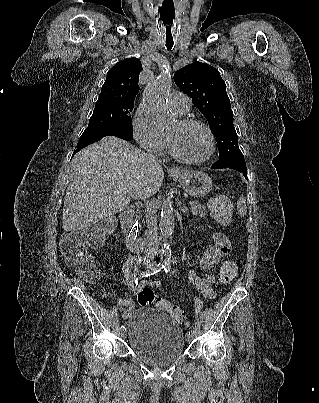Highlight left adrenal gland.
Here are the masks:
<instances>
[{
  "instance_id": "obj_1",
  "label": "left adrenal gland",
  "mask_w": 319,
  "mask_h": 403,
  "mask_svg": "<svg viewBox=\"0 0 319 403\" xmlns=\"http://www.w3.org/2000/svg\"><path fill=\"white\" fill-rule=\"evenodd\" d=\"M179 208L183 213L188 212V209L185 206H183V207L181 206V202H179Z\"/></svg>"
}]
</instances>
